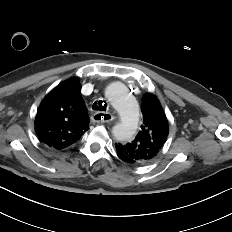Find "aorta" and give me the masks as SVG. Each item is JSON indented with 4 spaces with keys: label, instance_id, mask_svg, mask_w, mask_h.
Returning a JSON list of instances; mask_svg holds the SVG:
<instances>
[{
    "label": "aorta",
    "instance_id": "aorta-1",
    "mask_svg": "<svg viewBox=\"0 0 232 232\" xmlns=\"http://www.w3.org/2000/svg\"><path fill=\"white\" fill-rule=\"evenodd\" d=\"M105 95L120 115V122L112 129L118 141H127L134 137L139 126V107L136 100L128 93L124 84H110Z\"/></svg>",
    "mask_w": 232,
    "mask_h": 232
}]
</instances>
